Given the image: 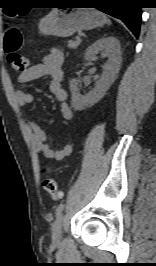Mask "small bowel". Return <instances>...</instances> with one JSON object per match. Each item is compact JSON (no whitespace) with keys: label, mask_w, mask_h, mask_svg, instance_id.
<instances>
[{"label":"small bowel","mask_w":156,"mask_h":266,"mask_svg":"<svg viewBox=\"0 0 156 266\" xmlns=\"http://www.w3.org/2000/svg\"><path fill=\"white\" fill-rule=\"evenodd\" d=\"M63 60L64 56L62 51L59 49H52L50 53L43 58L41 63L33 65L20 73L18 76V82L24 84L40 77L48 76L50 78V91L60 102L62 118L66 122H71L73 120V112L66 102L67 92L62 85ZM15 96L17 103L20 106L28 105L33 101V95L24 90H18ZM29 125L32 130L36 151L41 156L48 159L61 160L72 153L74 149V143L70 142L58 149H54L50 146L46 133L35 120H31Z\"/></svg>","instance_id":"1"}]
</instances>
